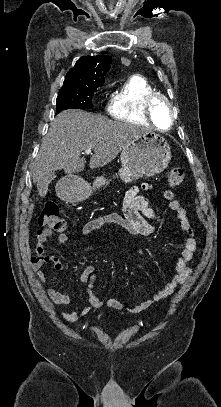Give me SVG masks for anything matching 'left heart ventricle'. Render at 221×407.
Instances as JSON below:
<instances>
[{"mask_svg": "<svg viewBox=\"0 0 221 407\" xmlns=\"http://www.w3.org/2000/svg\"><path fill=\"white\" fill-rule=\"evenodd\" d=\"M154 119L157 127L166 129L170 123V110L168 106L159 102L154 106Z\"/></svg>", "mask_w": 221, "mask_h": 407, "instance_id": "left-heart-ventricle-1", "label": "left heart ventricle"}]
</instances>
